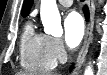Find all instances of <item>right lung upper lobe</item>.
<instances>
[{
    "label": "right lung upper lobe",
    "instance_id": "cb5924a9",
    "mask_svg": "<svg viewBox=\"0 0 107 75\" xmlns=\"http://www.w3.org/2000/svg\"><path fill=\"white\" fill-rule=\"evenodd\" d=\"M33 0H25L22 7V16L26 17L29 14V11L32 7Z\"/></svg>",
    "mask_w": 107,
    "mask_h": 75
}]
</instances>
